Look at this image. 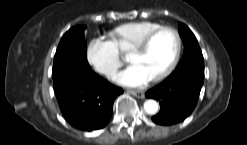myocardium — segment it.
<instances>
[{"instance_id":"myocardium-1","label":"myocardium","mask_w":247,"mask_h":145,"mask_svg":"<svg viewBox=\"0 0 247 145\" xmlns=\"http://www.w3.org/2000/svg\"><path fill=\"white\" fill-rule=\"evenodd\" d=\"M163 31H170L173 33V35L175 36V39H176V48H175L174 55H173L171 61L169 62V64L164 69H162L159 73H157L155 76H153L151 78V80H153V81H158V80L163 79L169 73H171V71L177 65L179 58H180V55H181V51H182V38H181L179 31L172 26H160V27L154 29L153 31L149 32L147 35H145L130 50V53H133V52L140 53V52L145 51L148 48V46L150 45L153 38L156 35H158L160 32H163Z\"/></svg>"}]
</instances>
